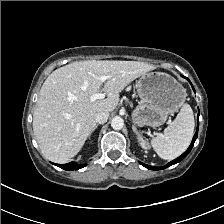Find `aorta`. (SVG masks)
<instances>
[{"mask_svg": "<svg viewBox=\"0 0 224 224\" xmlns=\"http://www.w3.org/2000/svg\"><path fill=\"white\" fill-rule=\"evenodd\" d=\"M124 126V120L119 117V116H116L112 119L111 121V127L114 129V130H120L122 129Z\"/></svg>", "mask_w": 224, "mask_h": 224, "instance_id": "obj_1", "label": "aorta"}]
</instances>
